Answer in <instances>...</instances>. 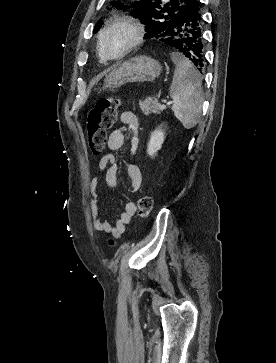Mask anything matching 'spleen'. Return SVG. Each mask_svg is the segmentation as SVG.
Here are the masks:
<instances>
[{
	"instance_id": "3e777b00",
	"label": "spleen",
	"mask_w": 276,
	"mask_h": 363,
	"mask_svg": "<svg viewBox=\"0 0 276 363\" xmlns=\"http://www.w3.org/2000/svg\"><path fill=\"white\" fill-rule=\"evenodd\" d=\"M175 64L170 96L173 99L172 111L174 116L186 129L197 125L202 114L204 101L202 81L199 73L191 62L178 52L171 54Z\"/></svg>"
}]
</instances>
